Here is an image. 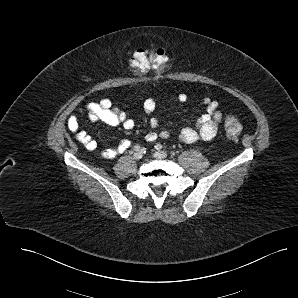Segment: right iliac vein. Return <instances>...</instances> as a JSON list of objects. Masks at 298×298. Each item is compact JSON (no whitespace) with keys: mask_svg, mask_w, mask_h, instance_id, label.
I'll use <instances>...</instances> for the list:
<instances>
[{"mask_svg":"<svg viewBox=\"0 0 298 298\" xmlns=\"http://www.w3.org/2000/svg\"><path fill=\"white\" fill-rule=\"evenodd\" d=\"M142 152H140V151H138V152H135L134 154H133V159L134 160H140L141 158H142Z\"/></svg>","mask_w":298,"mask_h":298,"instance_id":"right-iliac-vein-1","label":"right iliac vein"}]
</instances>
